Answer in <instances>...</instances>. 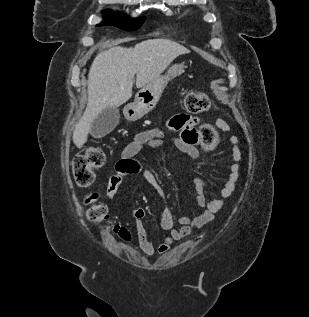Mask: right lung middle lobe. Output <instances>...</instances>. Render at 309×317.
<instances>
[{
  "instance_id": "right-lung-middle-lobe-1",
  "label": "right lung middle lobe",
  "mask_w": 309,
  "mask_h": 317,
  "mask_svg": "<svg viewBox=\"0 0 309 317\" xmlns=\"http://www.w3.org/2000/svg\"><path fill=\"white\" fill-rule=\"evenodd\" d=\"M104 21L100 25H111L119 27L122 30L134 31L142 26L145 21V17H139L131 19L127 15H118L112 11H105L103 13Z\"/></svg>"
}]
</instances>
